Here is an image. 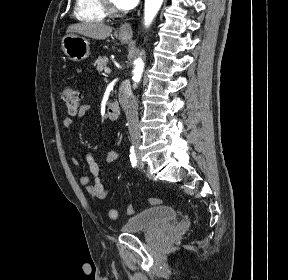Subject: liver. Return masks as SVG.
I'll use <instances>...</instances> for the list:
<instances>
[{
	"mask_svg": "<svg viewBox=\"0 0 288 280\" xmlns=\"http://www.w3.org/2000/svg\"><path fill=\"white\" fill-rule=\"evenodd\" d=\"M112 27L103 23H77L68 27L67 33H78L83 36L104 40L110 36Z\"/></svg>",
	"mask_w": 288,
	"mask_h": 280,
	"instance_id": "obj_1",
	"label": "liver"
}]
</instances>
